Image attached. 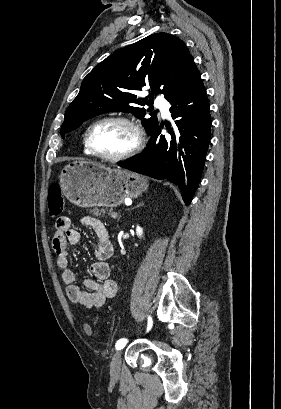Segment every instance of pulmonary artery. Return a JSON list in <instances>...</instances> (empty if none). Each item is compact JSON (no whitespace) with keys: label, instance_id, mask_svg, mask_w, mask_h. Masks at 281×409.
<instances>
[{"label":"pulmonary artery","instance_id":"obj_1","mask_svg":"<svg viewBox=\"0 0 281 409\" xmlns=\"http://www.w3.org/2000/svg\"><path fill=\"white\" fill-rule=\"evenodd\" d=\"M157 101L158 106L160 107L162 113L164 116H169L170 112H169V105L167 103H164L166 101V96L164 94H159L157 96Z\"/></svg>","mask_w":281,"mask_h":409}]
</instances>
